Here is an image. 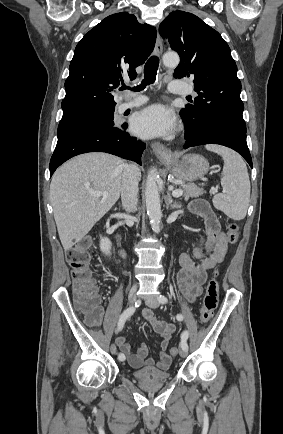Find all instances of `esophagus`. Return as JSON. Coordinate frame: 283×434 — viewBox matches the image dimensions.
Segmentation results:
<instances>
[{
	"instance_id": "34e87169",
	"label": "esophagus",
	"mask_w": 283,
	"mask_h": 434,
	"mask_svg": "<svg viewBox=\"0 0 283 434\" xmlns=\"http://www.w3.org/2000/svg\"><path fill=\"white\" fill-rule=\"evenodd\" d=\"M155 51L158 56H160L163 52L162 40L159 34H157ZM154 153L161 161H170L173 158V152L165 147L162 143L154 142L151 145Z\"/></svg>"
}]
</instances>
